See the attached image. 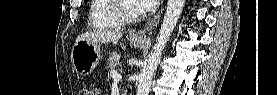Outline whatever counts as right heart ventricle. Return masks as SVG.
I'll return each instance as SVG.
<instances>
[{"label":"right heart ventricle","instance_id":"obj_1","mask_svg":"<svg viewBox=\"0 0 277 95\" xmlns=\"http://www.w3.org/2000/svg\"><path fill=\"white\" fill-rule=\"evenodd\" d=\"M113 0H92L89 12V26L93 29H114L121 25L110 12Z\"/></svg>","mask_w":277,"mask_h":95}]
</instances>
